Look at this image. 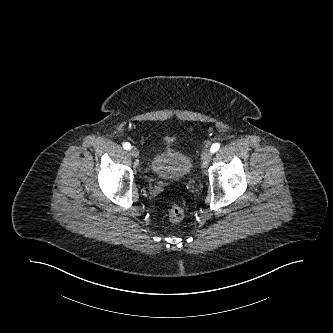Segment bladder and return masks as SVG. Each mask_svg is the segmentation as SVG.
Here are the masks:
<instances>
[{
  "label": "bladder",
  "instance_id": "obj_1",
  "mask_svg": "<svg viewBox=\"0 0 333 333\" xmlns=\"http://www.w3.org/2000/svg\"><path fill=\"white\" fill-rule=\"evenodd\" d=\"M190 156L173 146L172 140L165 138L161 147L149 160V171L157 178L167 181H180L190 172Z\"/></svg>",
  "mask_w": 333,
  "mask_h": 333
}]
</instances>
